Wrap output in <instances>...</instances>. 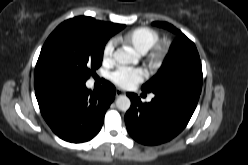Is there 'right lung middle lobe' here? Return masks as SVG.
I'll return each mask as SVG.
<instances>
[{
    "label": "right lung middle lobe",
    "mask_w": 248,
    "mask_h": 165,
    "mask_svg": "<svg viewBox=\"0 0 248 165\" xmlns=\"http://www.w3.org/2000/svg\"><path fill=\"white\" fill-rule=\"evenodd\" d=\"M113 34L100 35L70 21L61 23L42 47L34 82L85 84L101 66L105 44Z\"/></svg>",
    "instance_id": "right-lung-middle-lobe-1"
}]
</instances>
